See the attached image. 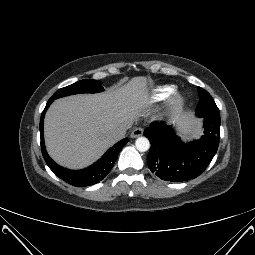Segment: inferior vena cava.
I'll return each instance as SVG.
<instances>
[{
	"instance_id": "1",
	"label": "inferior vena cava",
	"mask_w": 255,
	"mask_h": 255,
	"mask_svg": "<svg viewBox=\"0 0 255 255\" xmlns=\"http://www.w3.org/2000/svg\"><path fill=\"white\" fill-rule=\"evenodd\" d=\"M129 127H120L116 130H114L112 133H111V137L113 138V140L115 141H119L121 139H123L125 136H126V132H127V129Z\"/></svg>"
}]
</instances>
